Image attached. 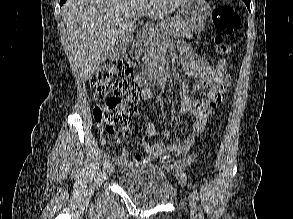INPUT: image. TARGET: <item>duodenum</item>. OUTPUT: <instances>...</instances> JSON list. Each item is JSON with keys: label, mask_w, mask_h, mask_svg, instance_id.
<instances>
[{"label": "duodenum", "mask_w": 293, "mask_h": 219, "mask_svg": "<svg viewBox=\"0 0 293 219\" xmlns=\"http://www.w3.org/2000/svg\"><path fill=\"white\" fill-rule=\"evenodd\" d=\"M147 39V29L142 28L137 33L136 47L140 49ZM168 76L166 69L162 67H150L147 70L139 73L136 81L139 85H150L155 82H163Z\"/></svg>", "instance_id": "410a0bca"}]
</instances>
